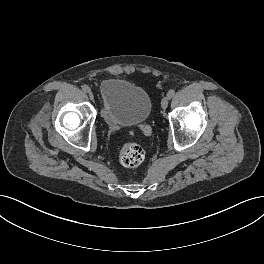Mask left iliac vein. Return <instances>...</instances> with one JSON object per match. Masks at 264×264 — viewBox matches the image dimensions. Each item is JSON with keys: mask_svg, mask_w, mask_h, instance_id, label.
<instances>
[{"mask_svg": "<svg viewBox=\"0 0 264 264\" xmlns=\"http://www.w3.org/2000/svg\"><path fill=\"white\" fill-rule=\"evenodd\" d=\"M168 103H169V98L168 97H164L162 100H161V107L163 109H166L167 106H168Z\"/></svg>", "mask_w": 264, "mask_h": 264, "instance_id": "obj_1", "label": "left iliac vein"}]
</instances>
